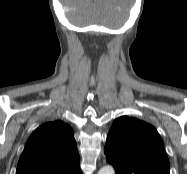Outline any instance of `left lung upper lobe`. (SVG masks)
<instances>
[{"label": "left lung upper lobe", "mask_w": 187, "mask_h": 174, "mask_svg": "<svg viewBox=\"0 0 187 174\" xmlns=\"http://www.w3.org/2000/svg\"><path fill=\"white\" fill-rule=\"evenodd\" d=\"M163 144L152 125L122 116L113 122L104 153L116 174H169Z\"/></svg>", "instance_id": "1"}]
</instances>
